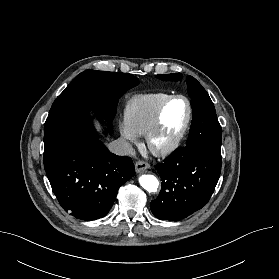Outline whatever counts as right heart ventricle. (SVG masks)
I'll return each instance as SVG.
<instances>
[{
    "label": "right heart ventricle",
    "instance_id": "1",
    "mask_svg": "<svg viewBox=\"0 0 279 279\" xmlns=\"http://www.w3.org/2000/svg\"><path fill=\"white\" fill-rule=\"evenodd\" d=\"M170 96L171 94L165 92L134 96L126 105L125 123L136 134H146L155 119L159 107Z\"/></svg>",
    "mask_w": 279,
    "mask_h": 279
}]
</instances>
